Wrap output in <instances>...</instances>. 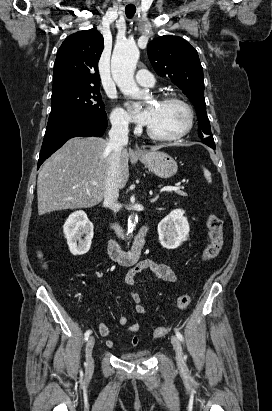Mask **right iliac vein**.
Segmentation results:
<instances>
[{"mask_svg": "<svg viewBox=\"0 0 272 411\" xmlns=\"http://www.w3.org/2000/svg\"><path fill=\"white\" fill-rule=\"evenodd\" d=\"M95 344V338L93 336L89 337L85 346V356H86V367L88 371H91L94 366V360L92 357V351Z\"/></svg>", "mask_w": 272, "mask_h": 411, "instance_id": "63e3f726", "label": "right iliac vein"}]
</instances>
